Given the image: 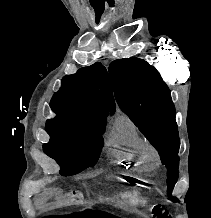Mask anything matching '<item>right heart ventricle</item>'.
<instances>
[{"mask_svg": "<svg viewBox=\"0 0 211 218\" xmlns=\"http://www.w3.org/2000/svg\"><path fill=\"white\" fill-rule=\"evenodd\" d=\"M109 139L121 144H106L114 165H123L124 169H147L150 160L143 159V151L147 144L141 136L134 120L126 113H118L112 123ZM141 159V160H139Z\"/></svg>", "mask_w": 211, "mask_h": 218, "instance_id": "e07e8e85", "label": "right heart ventricle"}]
</instances>
